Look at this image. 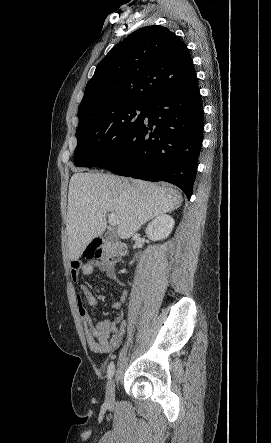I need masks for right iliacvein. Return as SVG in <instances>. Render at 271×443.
I'll return each instance as SVG.
<instances>
[{"label":"right iliac vein","mask_w":271,"mask_h":443,"mask_svg":"<svg viewBox=\"0 0 271 443\" xmlns=\"http://www.w3.org/2000/svg\"><path fill=\"white\" fill-rule=\"evenodd\" d=\"M115 402V383L110 380L106 387L105 403L108 408H112Z\"/></svg>","instance_id":"right-iliac-vein-1"}]
</instances>
